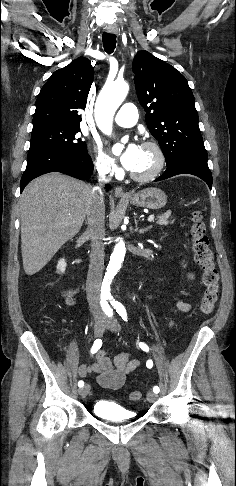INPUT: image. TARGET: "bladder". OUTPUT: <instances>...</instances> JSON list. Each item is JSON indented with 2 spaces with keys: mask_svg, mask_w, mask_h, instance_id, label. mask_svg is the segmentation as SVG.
Instances as JSON below:
<instances>
[{
  "mask_svg": "<svg viewBox=\"0 0 236 486\" xmlns=\"http://www.w3.org/2000/svg\"><path fill=\"white\" fill-rule=\"evenodd\" d=\"M94 414L104 420L113 422H129L136 418V414L116 403L100 400L93 406Z\"/></svg>",
  "mask_w": 236,
  "mask_h": 486,
  "instance_id": "1",
  "label": "bladder"
}]
</instances>
